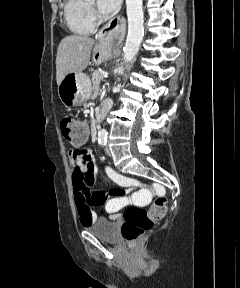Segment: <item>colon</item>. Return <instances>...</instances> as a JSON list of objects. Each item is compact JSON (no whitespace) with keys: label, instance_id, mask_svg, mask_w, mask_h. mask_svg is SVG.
Masks as SVG:
<instances>
[{"label":"colon","instance_id":"obj_1","mask_svg":"<svg viewBox=\"0 0 240 288\" xmlns=\"http://www.w3.org/2000/svg\"><path fill=\"white\" fill-rule=\"evenodd\" d=\"M61 133L65 139L75 143L87 138V126L82 120L73 117H64L60 122ZM167 209L165 197L157 198L153 204L144 209L141 207L131 206L124 212V221L121 227L123 238L130 246L153 225L163 218Z\"/></svg>","mask_w":240,"mask_h":288}]
</instances>
